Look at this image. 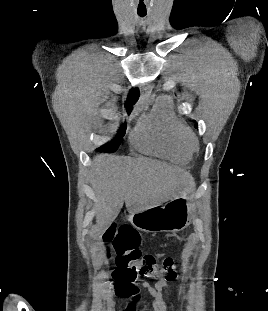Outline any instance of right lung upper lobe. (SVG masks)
<instances>
[{
  "mask_svg": "<svg viewBox=\"0 0 268 311\" xmlns=\"http://www.w3.org/2000/svg\"><path fill=\"white\" fill-rule=\"evenodd\" d=\"M138 98H139V90L131 89L125 102L127 112L131 110L132 106L135 104Z\"/></svg>",
  "mask_w": 268,
  "mask_h": 311,
  "instance_id": "right-lung-upper-lobe-1",
  "label": "right lung upper lobe"
}]
</instances>
